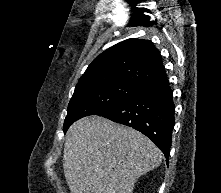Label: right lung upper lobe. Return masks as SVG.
<instances>
[{"label":"right lung upper lobe","instance_id":"cb5924a9","mask_svg":"<svg viewBox=\"0 0 221 193\" xmlns=\"http://www.w3.org/2000/svg\"><path fill=\"white\" fill-rule=\"evenodd\" d=\"M164 77L162 57L154 44L148 40L127 39L95 58L75 90L118 82L144 85Z\"/></svg>","mask_w":221,"mask_h":193}]
</instances>
